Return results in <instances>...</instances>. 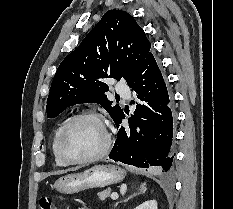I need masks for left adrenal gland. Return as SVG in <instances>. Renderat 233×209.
Here are the masks:
<instances>
[{
	"mask_svg": "<svg viewBox=\"0 0 233 209\" xmlns=\"http://www.w3.org/2000/svg\"><path fill=\"white\" fill-rule=\"evenodd\" d=\"M133 197V195H131L130 197H128L125 201H128L129 199H131Z\"/></svg>",
	"mask_w": 233,
	"mask_h": 209,
	"instance_id": "a2214340",
	"label": "left adrenal gland"
}]
</instances>
